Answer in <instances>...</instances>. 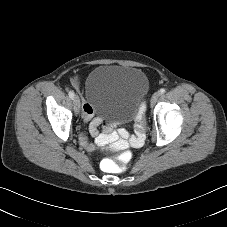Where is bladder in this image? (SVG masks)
Instances as JSON below:
<instances>
[{
	"label": "bladder",
	"mask_w": 227,
	"mask_h": 227,
	"mask_svg": "<svg viewBox=\"0 0 227 227\" xmlns=\"http://www.w3.org/2000/svg\"><path fill=\"white\" fill-rule=\"evenodd\" d=\"M147 89V78L140 69L103 64L89 75L85 97L99 116L124 122L137 116Z\"/></svg>",
	"instance_id": "obj_1"
}]
</instances>
